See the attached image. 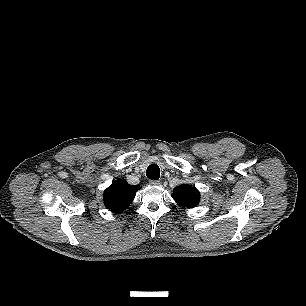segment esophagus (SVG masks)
<instances>
[{
    "mask_svg": "<svg viewBox=\"0 0 306 306\" xmlns=\"http://www.w3.org/2000/svg\"><path fill=\"white\" fill-rule=\"evenodd\" d=\"M149 184L151 186H158V185H160V181L159 180H150Z\"/></svg>",
    "mask_w": 306,
    "mask_h": 306,
    "instance_id": "esophagus-1",
    "label": "esophagus"
}]
</instances>
